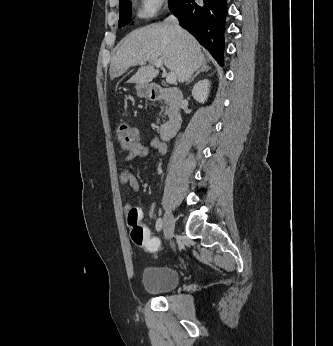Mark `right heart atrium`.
<instances>
[{
	"label": "right heart atrium",
	"mask_w": 333,
	"mask_h": 346,
	"mask_svg": "<svg viewBox=\"0 0 333 346\" xmlns=\"http://www.w3.org/2000/svg\"><path fill=\"white\" fill-rule=\"evenodd\" d=\"M165 0H139V15L144 18L154 16L163 6Z\"/></svg>",
	"instance_id": "right-heart-atrium-1"
}]
</instances>
